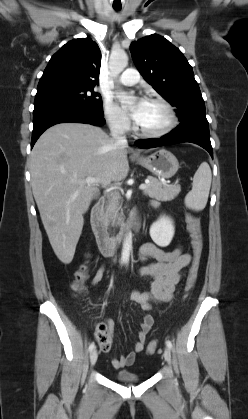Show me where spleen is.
I'll list each match as a JSON object with an SVG mask.
<instances>
[{
    "label": "spleen",
    "mask_w": 248,
    "mask_h": 419,
    "mask_svg": "<svg viewBox=\"0 0 248 419\" xmlns=\"http://www.w3.org/2000/svg\"><path fill=\"white\" fill-rule=\"evenodd\" d=\"M211 179L212 174L208 163H201L193 177L192 190L185 197L187 208L195 211H200L205 208L208 201Z\"/></svg>",
    "instance_id": "3e777b00"
}]
</instances>
